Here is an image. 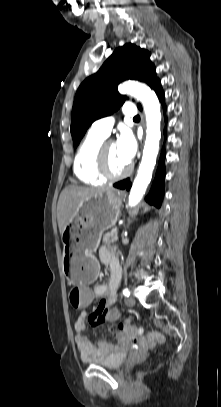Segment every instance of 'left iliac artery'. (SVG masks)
Masks as SVG:
<instances>
[{
    "mask_svg": "<svg viewBox=\"0 0 221 407\" xmlns=\"http://www.w3.org/2000/svg\"><path fill=\"white\" fill-rule=\"evenodd\" d=\"M122 293L125 297H129V295H130V292L127 288L123 289Z\"/></svg>",
    "mask_w": 221,
    "mask_h": 407,
    "instance_id": "44dca946",
    "label": "left iliac artery"
}]
</instances>
